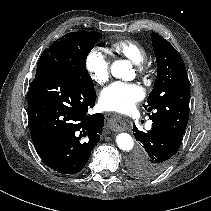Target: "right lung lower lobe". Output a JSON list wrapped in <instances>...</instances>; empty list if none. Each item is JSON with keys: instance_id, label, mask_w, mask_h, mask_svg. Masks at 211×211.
<instances>
[{"instance_id": "1", "label": "right lung lower lobe", "mask_w": 211, "mask_h": 211, "mask_svg": "<svg viewBox=\"0 0 211 211\" xmlns=\"http://www.w3.org/2000/svg\"><path fill=\"white\" fill-rule=\"evenodd\" d=\"M95 100L94 89L51 57L39 59L28 92L30 134L40 158L53 170L76 174L86 165L104 126L103 114H87Z\"/></svg>"}]
</instances>
